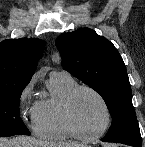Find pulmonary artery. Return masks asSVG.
<instances>
[{
	"instance_id": "1",
	"label": "pulmonary artery",
	"mask_w": 145,
	"mask_h": 147,
	"mask_svg": "<svg viewBox=\"0 0 145 147\" xmlns=\"http://www.w3.org/2000/svg\"><path fill=\"white\" fill-rule=\"evenodd\" d=\"M57 74H64V75H69L66 71H57L53 70L50 75H57Z\"/></svg>"
}]
</instances>
